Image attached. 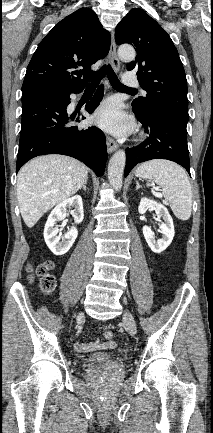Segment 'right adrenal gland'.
I'll return each mask as SVG.
<instances>
[{"label": "right adrenal gland", "mask_w": 213, "mask_h": 433, "mask_svg": "<svg viewBox=\"0 0 213 433\" xmlns=\"http://www.w3.org/2000/svg\"><path fill=\"white\" fill-rule=\"evenodd\" d=\"M86 184H87V181L84 182V184L82 185V187L80 189H83L84 191H86L87 190Z\"/></svg>", "instance_id": "1"}]
</instances>
